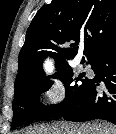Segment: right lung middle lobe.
I'll list each match as a JSON object with an SVG mask.
<instances>
[{
	"instance_id": "dd1d6c3e",
	"label": "right lung middle lobe",
	"mask_w": 116,
	"mask_h": 134,
	"mask_svg": "<svg viewBox=\"0 0 116 134\" xmlns=\"http://www.w3.org/2000/svg\"><path fill=\"white\" fill-rule=\"evenodd\" d=\"M81 63H84V61ZM88 63L90 64V62ZM83 77L85 75L74 78L73 70L68 66L60 69L55 74L53 78L60 79L64 83L66 91L65 99L56 105L45 107L39 101L40 94L47 91L53 84L52 81H48V78L30 84L20 93L14 95L12 129L36 119L51 118L62 112L67 105L76 102L91 80V78ZM78 81L82 83H77Z\"/></svg>"
}]
</instances>
